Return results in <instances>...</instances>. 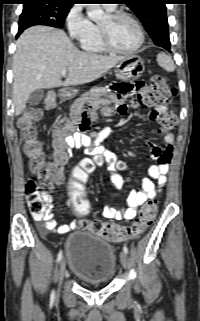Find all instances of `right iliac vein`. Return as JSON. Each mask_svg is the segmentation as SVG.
<instances>
[{
    "label": "right iliac vein",
    "mask_w": 200,
    "mask_h": 321,
    "mask_svg": "<svg viewBox=\"0 0 200 321\" xmlns=\"http://www.w3.org/2000/svg\"><path fill=\"white\" fill-rule=\"evenodd\" d=\"M65 274V260L61 259L60 264H59V269H58V280L59 284H61Z\"/></svg>",
    "instance_id": "obj_1"
}]
</instances>
